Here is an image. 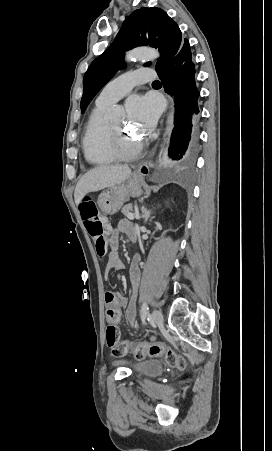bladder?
<instances>
[{
  "label": "bladder",
  "mask_w": 272,
  "mask_h": 451,
  "mask_svg": "<svg viewBox=\"0 0 272 451\" xmlns=\"http://www.w3.org/2000/svg\"><path fill=\"white\" fill-rule=\"evenodd\" d=\"M118 365H124L126 360H116ZM163 369V361L159 359L141 360L135 363L134 371H141L150 375H158Z\"/></svg>",
  "instance_id": "bladder-1"
}]
</instances>
